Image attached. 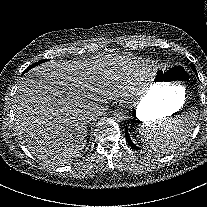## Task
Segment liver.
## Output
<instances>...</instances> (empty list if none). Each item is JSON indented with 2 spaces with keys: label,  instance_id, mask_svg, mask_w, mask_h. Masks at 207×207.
Segmentation results:
<instances>
[{
  "label": "liver",
  "instance_id": "6515ba94",
  "mask_svg": "<svg viewBox=\"0 0 207 207\" xmlns=\"http://www.w3.org/2000/svg\"><path fill=\"white\" fill-rule=\"evenodd\" d=\"M95 67L46 62L22 77L13 99L15 132L26 147L46 154H76L85 147L87 123L97 110L86 100Z\"/></svg>",
  "mask_w": 207,
  "mask_h": 207
}]
</instances>
